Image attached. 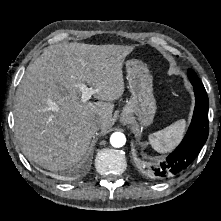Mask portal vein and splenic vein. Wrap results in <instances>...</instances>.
<instances>
[{
    "label": "portal vein and splenic vein",
    "instance_id": "1",
    "mask_svg": "<svg viewBox=\"0 0 221 221\" xmlns=\"http://www.w3.org/2000/svg\"><path fill=\"white\" fill-rule=\"evenodd\" d=\"M79 89L81 91V101L82 102H86L88 101L91 96L98 91V89H92V88H88L85 84H81L79 85Z\"/></svg>",
    "mask_w": 221,
    "mask_h": 221
}]
</instances>
